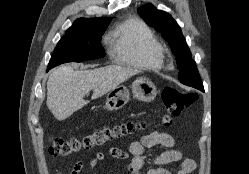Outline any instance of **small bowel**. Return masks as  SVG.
I'll list each match as a JSON object with an SVG mask.
<instances>
[{
	"mask_svg": "<svg viewBox=\"0 0 249 174\" xmlns=\"http://www.w3.org/2000/svg\"><path fill=\"white\" fill-rule=\"evenodd\" d=\"M176 144L175 138L166 132H151L144 135L139 141L131 142L127 150L124 151L117 147H111L106 151L98 152L85 166V163L80 160L77 161L70 174H91L97 165L104 161L107 156L116 159L126 160L131 159L128 170L130 174H141L142 169L146 163H150L151 167L148 168L146 174H171L170 171L163 166L178 162L182 159V152L173 148ZM155 146H162L169 148L168 150L160 153H148L145 150ZM196 168V162L193 159H185L181 164V168L177 174H191Z\"/></svg>",
	"mask_w": 249,
	"mask_h": 174,
	"instance_id": "small-bowel-1",
	"label": "small bowel"
}]
</instances>
